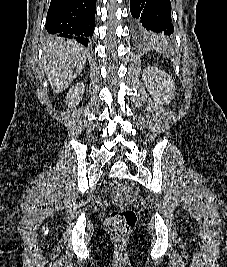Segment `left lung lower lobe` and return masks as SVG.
<instances>
[{
	"label": "left lung lower lobe",
	"mask_w": 227,
	"mask_h": 267,
	"mask_svg": "<svg viewBox=\"0 0 227 267\" xmlns=\"http://www.w3.org/2000/svg\"><path fill=\"white\" fill-rule=\"evenodd\" d=\"M130 11L137 36L162 37L173 34L170 0H130Z\"/></svg>",
	"instance_id": "left-lung-lower-lobe-1"
}]
</instances>
